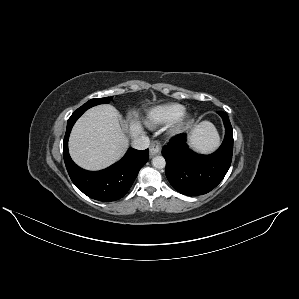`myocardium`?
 <instances>
[{
  "instance_id": "obj_1",
  "label": "myocardium",
  "mask_w": 299,
  "mask_h": 299,
  "mask_svg": "<svg viewBox=\"0 0 299 299\" xmlns=\"http://www.w3.org/2000/svg\"><path fill=\"white\" fill-rule=\"evenodd\" d=\"M191 120V115L187 112H183L173 121L170 132L172 134H179L183 132L190 125Z\"/></svg>"
}]
</instances>
